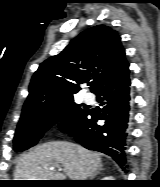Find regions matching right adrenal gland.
Returning a JSON list of instances; mask_svg holds the SVG:
<instances>
[{"mask_svg":"<svg viewBox=\"0 0 160 187\" xmlns=\"http://www.w3.org/2000/svg\"><path fill=\"white\" fill-rule=\"evenodd\" d=\"M101 170H102V166H100V168L98 169V171H96V172L92 175L91 180H93V178H94L97 174H99Z\"/></svg>","mask_w":160,"mask_h":187,"instance_id":"right-adrenal-gland-1","label":"right adrenal gland"}]
</instances>
